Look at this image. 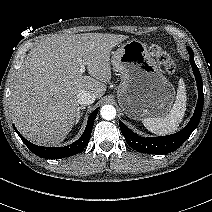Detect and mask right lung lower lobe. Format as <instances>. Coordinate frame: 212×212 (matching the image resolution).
<instances>
[{
    "mask_svg": "<svg viewBox=\"0 0 212 212\" xmlns=\"http://www.w3.org/2000/svg\"><path fill=\"white\" fill-rule=\"evenodd\" d=\"M98 113V109L94 110L92 114L88 118V123L86 126V129L79 140L76 142L65 146V147H42L37 146L31 142H29L27 139H25L14 127L15 131L19 135V137L22 139L24 144L29 148L30 151H32L35 155L46 158V159H61L65 157H69L72 155H75L79 152H81L86 145L88 144V141L91 136L94 120L96 118V115Z\"/></svg>",
    "mask_w": 212,
    "mask_h": 212,
    "instance_id": "right-lung-lower-lobe-1",
    "label": "right lung lower lobe"
}]
</instances>
